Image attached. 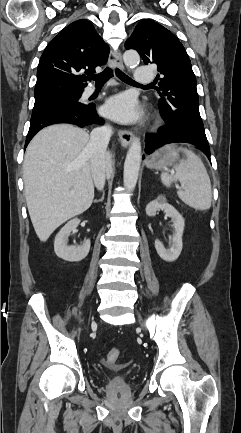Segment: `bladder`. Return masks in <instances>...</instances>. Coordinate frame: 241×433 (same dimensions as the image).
Returning <instances> with one entry per match:
<instances>
[{
    "label": "bladder",
    "instance_id": "31cf9c89",
    "mask_svg": "<svg viewBox=\"0 0 241 433\" xmlns=\"http://www.w3.org/2000/svg\"><path fill=\"white\" fill-rule=\"evenodd\" d=\"M128 383H129V378L124 374L113 375L107 381V385L112 388H116V387L125 388L128 386Z\"/></svg>",
    "mask_w": 241,
    "mask_h": 433
}]
</instances>
